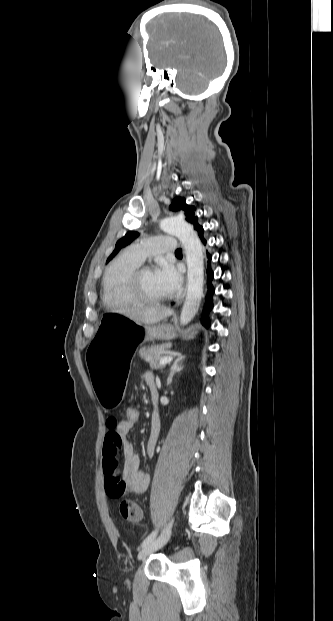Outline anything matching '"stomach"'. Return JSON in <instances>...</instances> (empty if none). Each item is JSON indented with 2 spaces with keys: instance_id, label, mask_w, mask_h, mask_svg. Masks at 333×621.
Listing matches in <instances>:
<instances>
[{
  "instance_id": "1",
  "label": "stomach",
  "mask_w": 333,
  "mask_h": 621,
  "mask_svg": "<svg viewBox=\"0 0 333 621\" xmlns=\"http://www.w3.org/2000/svg\"><path fill=\"white\" fill-rule=\"evenodd\" d=\"M172 327L164 338L155 336L150 325L134 322L131 314H105L97 328L96 336L86 347L87 372L95 387V394L107 412L119 409V401L125 394L127 375L132 355L142 342L154 339L175 338Z\"/></svg>"
}]
</instances>
